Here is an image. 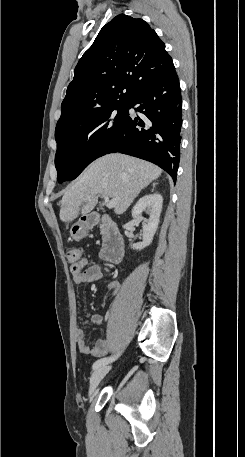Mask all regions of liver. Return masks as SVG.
I'll return each instance as SVG.
<instances>
[{"mask_svg": "<svg viewBox=\"0 0 245 457\" xmlns=\"http://www.w3.org/2000/svg\"><path fill=\"white\" fill-rule=\"evenodd\" d=\"M162 170L152 162L128 154H105L91 162L84 172L69 184L62 196L60 218L63 222L74 220L79 214L93 210L98 194L117 198L116 214H123L144 186L158 178ZM90 198V200H87Z\"/></svg>", "mask_w": 245, "mask_h": 457, "instance_id": "obj_1", "label": "liver"}]
</instances>
